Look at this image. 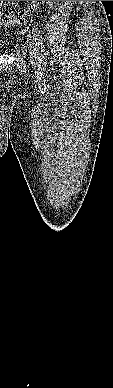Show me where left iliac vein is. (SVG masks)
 Returning a JSON list of instances; mask_svg holds the SVG:
<instances>
[{
    "label": "left iliac vein",
    "instance_id": "1",
    "mask_svg": "<svg viewBox=\"0 0 113 388\" xmlns=\"http://www.w3.org/2000/svg\"><path fill=\"white\" fill-rule=\"evenodd\" d=\"M29 53L32 57H36L37 51H36L35 43L33 42L29 43Z\"/></svg>",
    "mask_w": 113,
    "mask_h": 388
}]
</instances>
